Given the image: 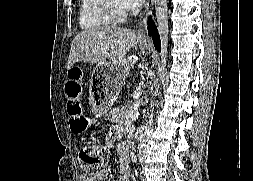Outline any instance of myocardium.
Returning a JSON list of instances; mask_svg holds the SVG:
<instances>
[{
    "instance_id": "obj_1",
    "label": "myocardium",
    "mask_w": 253,
    "mask_h": 181,
    "mask_svg": "<svg viewBox=\"0 0 253 181\" xmlns=\"http://www.w3.org/2000/svg\"><path fill=\"white\" fill-rule=\"evenodd\" d=\"M103 10L113 23H119L127 19L129 12L128 10H121L117 7L115 0H103Z\"/></svg>"
}]
</instances>
